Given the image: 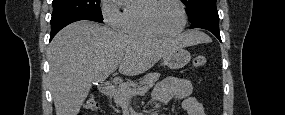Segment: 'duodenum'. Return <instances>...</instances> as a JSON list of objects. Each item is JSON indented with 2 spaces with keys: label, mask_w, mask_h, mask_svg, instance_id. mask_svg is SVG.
<instances>
[{
  "label": "duodenum",
  "mask_w": 285,
  "mask_h": 115,
  "mask_svg": "<svg viewBox=\"0 0 285 115\" xmlns=\"http://www.w3.org/2000/svg\"><path fill=\"white\" fill-rule=\"evenodd\" d=\"M114 88H115V85L112 82H104L100 84L99 91L103 95H108L114 90Z\"/></svg>",
  "instance_id": "1"
}]
</instances>
